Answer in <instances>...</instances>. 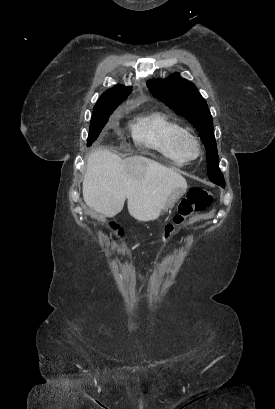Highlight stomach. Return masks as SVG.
<instances>
[{"instance_id":"1","label":"stomach","mask_w":275,"mask_h":409,"mask_svg":"<svg viewBox=\"0 0 275 409\" xmlns=\"http://www.w3.org/2000/svg\"><path fill=\"white\" fill-rule=\"evenodd\" d=\"M182 194V188H175V190H173L172 194H170L167 200V205L166 207H164V211H167V209H170V207H174V202H177L178 198H180Z\"/></svg>"}]
</instances>
